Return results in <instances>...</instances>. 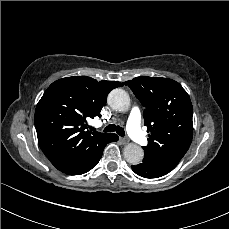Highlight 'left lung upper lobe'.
Returning a JSON list of instances; mask_svg holds the SVG:
<instances>
[{
	"mask_svg": "<svg viewBox=\"0 0 229 229\" xmlns=\"http://www.w3.org/2000/svg\"><path fill=\"white\" fill-rule=\"evenodd\" d=\"M145 107L148 145L143 162L166 175L187 152L193 136V107L189 95L176 81L137 77L124 82Z\"/></svg>",
	"mask_w": 229,
	"mask_h": 229,
	"instance_id": "1",
	"label": "left lung upper lobe"
}]
</instances>
